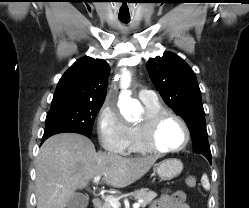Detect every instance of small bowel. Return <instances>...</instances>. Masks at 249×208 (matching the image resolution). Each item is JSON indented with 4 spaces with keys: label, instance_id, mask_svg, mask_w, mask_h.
Masks as SVG:
<instances>
[{
    "label": "small bowel",
    "instance_id": "1",
    "mask_svg": "<svg viewBox=\"0 0 249 208\" xmlns=\"http://www.w3.org/2000/svg\"><path fill=\"white\" fill-rule=\"evenodd\" d=\"M150 208H190L185 202V193L175 191L165 192L150 206Z\"/></svg>",
    "mask_w": 249,
    "mask_h": 208
}]
</instances>
